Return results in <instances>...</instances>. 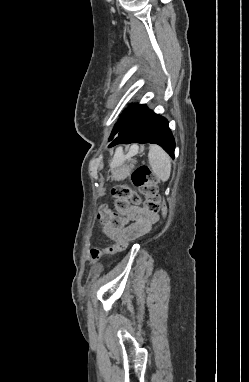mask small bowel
Segmentation results:
<instances>
[{
    "label": "small bowel",
    "instance_id": "1",
    "mask_svg": "<svg viewBox=\"0 0 249 382\" xmlns=\"http://www.w3.org/2000/svg\"><path fill=\"white\" fill-rule=\"evenodd\" d=\"M126 216L131 221V224L127 228L121 229H114L108 222L98 218L106 235L113 239H120L123 237L137 239L146 234L150 230L151 225L157 221L155 215L138 206L128 209Z\"/></svg>",
    "mask_w": 249,
    "mask_h": 382
}]
</instances>
